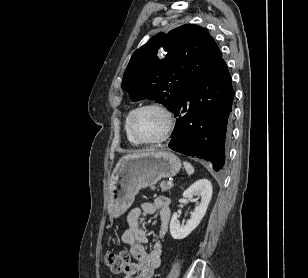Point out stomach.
Returning a JSON list of instances; mask_svg holds the SVG:
<instances>
[{"label":"stomach","instance_id":"0dacf381","mask_svg":"<svg viewBox=\"0 0 308 278\" xmlns=\"http://www.w3.org/2000/svg\"><path fill=\"white\" fill-rule=\"evenodd\" d=\"M180 159L169 151L149 150L123 156L109 179L108 214L121 216L132 205L139 190L155 185L161 178L175 176Z\"/></svg>","mask_w":308,"mask_h":278}]
</instances>
